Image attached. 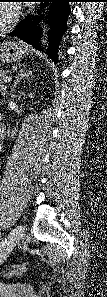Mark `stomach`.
<instances>
[{"label":"stomach","mask_w":107,"mask_h":297,"mask_svg":"<svg viewBox=\"0 0 107 297\" xmlns=\"http://www.w3.org/2000/svg\"><path fill=\"white\" fill-rule=\"evenodd\" d=\"M28 52L29 48L21 42L3 43L0 47V60L2 63H18Z\"/></svg>","instance_id":"0dacf381"}]
</instances>
